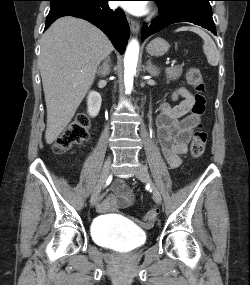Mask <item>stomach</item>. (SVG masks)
<instances>
[{"mask_svg": "<svg viewBox=\"0 0 250 285\" xmlns=\"http://www.w3.org/2000/svg\"><path fill=\"white\" fill-rule=\"evenodd\" d=\"M169 49V43L162 38H156L151 41L147 47V52L152 56H162Z\"/></svg>", "mask_w": 250, "mask_h": 285, "instance_id": "obj_1", "label": "stomach"}]
</instances>
